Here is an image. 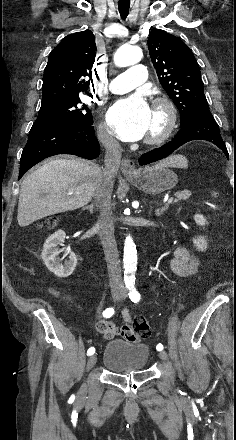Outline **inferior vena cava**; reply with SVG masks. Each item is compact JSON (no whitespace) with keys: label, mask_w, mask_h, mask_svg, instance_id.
Instances as JSON below:
<instances>
[{"label":"inferior vena cava","mask_w":236,"mask_h":440,"mask_svg":"<svg viewBox=\"0 0 236 440\" xmlns=\"http://www.w3.org/2000/svg\"><path fill=\"white\" fill-rule=\"evenodd\" d=\"M100 141L105 147V167L101 171L95 197L100 204L101 212L98 219V230L104 249L108 268L110 287L123 288L120 259L114 237V223L111 213V193L109 185L112 177L119 169L122 149L119 142L110 134L102 133Z\"/></svg>","instance_id":"1"}]
</instances>
